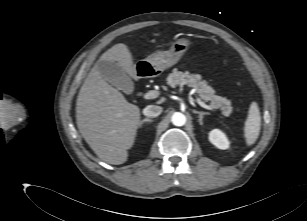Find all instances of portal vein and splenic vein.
<instances>
[{"label": "portal vein and splenic vein", "mask_w": 307, "mask_h": 221, "mask_svg": "<svg viewBox=\"0 0 307 221\" xmlns=\"http://www.w3.org/2000/svg\"><path fill=\"white\" fill-rule=\"evenodd\" d=\"M158 96H159V92H158V91H155V90H152V91L147 92V93L144 95V99H146V100L154 99V98H157ZM196 101H197V103H198L201 107H203V108H205V109H207V110H210V111L213 110V108H212L211 106L205 104V103H204L203 101H201L199 98H197Z\"/></svg>", "instance_id": "1"}]
</instances>
